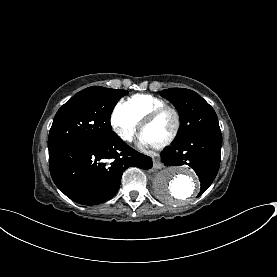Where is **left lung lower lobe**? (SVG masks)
<instances>
[{
  "instance_id": "obj_1",
  "label": "left lung lower lobe",
  "mask_w": 277,
  "mask_h": 277,
  "mask_svg": "<svg viewBox=\"0 0 277 277\" xmlns=\"http://www.w3.org/2000/svg\"><path fill=\"white\" fill-rule=\"evenodd\" d=\"M221 146V131L198 133L176 140L173 146L161 153V161L165 166L186 164L193 168L201 182V195L218 173Z\"/></svg>"
}]
</instances>
